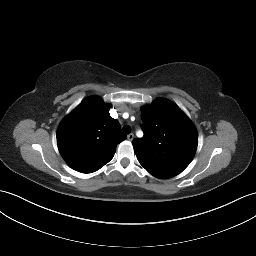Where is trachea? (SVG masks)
<instances>
[{
    "mask_svg": "<svg viewBox=\"0 0 256 256\" xmlns=\"http://www.w3.org/2000/svg\"><path fill=\"white\" fill-rule=\"evenodd\" d=\"M122 130H123L124 133L130 134L131 127L129 125H125Z\"/></svg>",
    "mask_w": 256,
    "mask_h": 256,
    "instance_id": "1",
    "label": "trachea"
}]
</instances>
